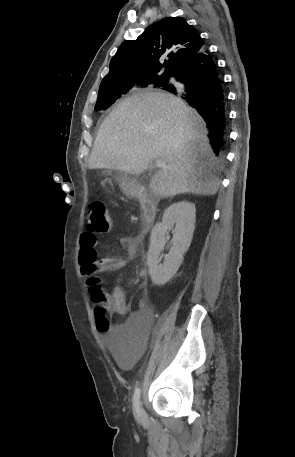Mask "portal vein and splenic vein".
<instances>
[{
    "label": "portal vein and splenic vein",
    "mask_w": 295,
    "mask_h": 457,
    "mask_svg": "<svg viewBox=\"0 0 295 457\" xmlns=\"http://www.w3.org/2000/svg\"><path fill=\"white\" fill-rule=\"evenodd\" d=\"M155 165H156V167H160V168H161V167H165V162L162 161L161 159H157V160L155 161Z\"/></svg>",
    "instance_id": "obj_1"
}]
</instances>
